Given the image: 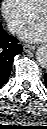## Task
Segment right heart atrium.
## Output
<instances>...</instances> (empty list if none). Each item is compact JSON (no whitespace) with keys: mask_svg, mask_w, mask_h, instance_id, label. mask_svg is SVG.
Segmentation results:
<instances>
[{"mask_svg":"<svg viewBox=\"0 0 47 129\" xmlns=\"http://www.w3.org/2000/svg\"><path fill=\"white\" fill-rule=\"evenodd\" d=\"M1 12L12 33L19 32L32 20V13L21 0H2Z\"/></svg>","mask_w":47,"mask_h":129,"instance_id":"right-heart-atrium-1","label":"right heart atrium"}]
</instances>
